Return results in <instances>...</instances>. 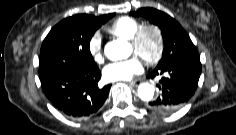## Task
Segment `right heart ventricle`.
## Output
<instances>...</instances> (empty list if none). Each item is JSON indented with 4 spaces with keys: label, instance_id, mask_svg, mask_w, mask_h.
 I'll return each mask as SVG.
<instances>
[{
    "label": "right heart ventricle",
    "instance_id": "e07e8e85",
    "mask_svg": "<svg viewBox=\"0 0 236 135\" xmlns=\"http://www.w3.org/2000/svg\"><path fill=\"white\" fill-rule=\"evenodd\" d=\"M142 25L141 21L133 17L123 16L108 25L106 30L114 36L130 41Z\"/></svg>",
    "mask_w": 236,
    "mask_h": 135
}]
</instances>
